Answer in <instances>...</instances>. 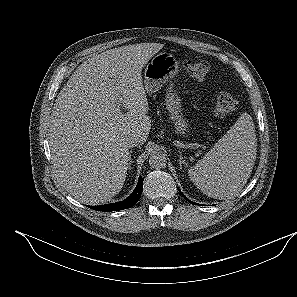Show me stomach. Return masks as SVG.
I'll return each mask as SVG.
<instances>
[{
  "instance_id": "0dacf381",
  "label": "stomach",
  "mask_w": 297,
  "mask_h": 297,
  "mask_svg": "<svg viewBox=\"0 0 297 297\" xmlns=\"http://www.w3.org/2000/svg\"><path fill=\"white\" fill-rule=\"evenodd\" d=\"M179 63L170 53L161 52L156 54L146 65L144 72V88L147 93L157 92L177 72ZM179 98L171 88L166 97V109L178 134H186L190 130L189 121L184 118Z\"/></svg>"
}]
</instances>
